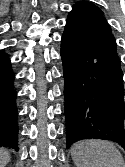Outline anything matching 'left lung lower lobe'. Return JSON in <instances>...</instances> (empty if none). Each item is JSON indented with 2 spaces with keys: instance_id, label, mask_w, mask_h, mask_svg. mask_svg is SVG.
I'll return each instance as SVG.
<instances>
[{
  "instance_id": "0a47b994",
  "label": "left lung lower lobe",
  "mask_w": 125,
  "mask_h": 167,
  "mask_svg": "<svg viewBox=\"0 0 125 167\" xmlns=\"http://www.w3.org/2000/svg\"><path fill=\"white\" fill-rule=\"evenodd\" d=\"M61 58L67 148L93 138L125 149L123 71L105 18L67 19Z\"/></svg>"
}]
</instances>
